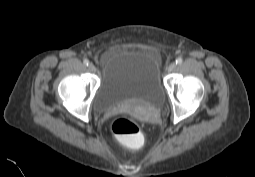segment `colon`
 <instances>
[{
  "mask_svg": "<svg viewBox=\"0 0 255 177\" xmlns=\"http://www.w3.org/2000/svg\"><path fill=\"white\" fill-rule=\"evenodd\" d=\"M111 131L131 149H138L142 145L143 137L140 127L131 119L116 118L111 124Z\"/></svg>",
  "mask_w": 255,
  "mask_h": 177,
  "instance_id": "5ec220e1",
  "label": "colon"
}]
</instances>
